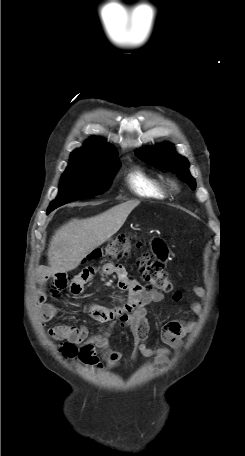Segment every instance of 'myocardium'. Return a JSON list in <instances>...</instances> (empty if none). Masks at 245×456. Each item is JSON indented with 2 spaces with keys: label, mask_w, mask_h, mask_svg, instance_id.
<instances>
[{
  "label": "myocardium",
  "mask_w": 245,
  "mask_h": 456,
  "mask_svg": "<svg viewBox=\"0 0 245 456\" xmlns=\"http://www.w3.org/2000/svg\"><path fill=\"white\" fill-rule=\"evenodd\" d=\"M172 185H173L174 187H176V184H175V183H172Z\"/></svg>",
  "instance_id": "f54148a6"
}]
</instances>
